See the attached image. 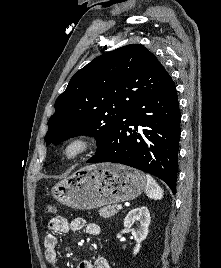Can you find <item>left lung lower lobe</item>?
Here are the masks:
<instances>
[{"mask_svg": "<svg viewBox=\"0 0 221 268\" xmlns=\"http://www.w3.org/2000/svg\"><path fill=\"white\" fill-rule=\"evenodd\" d=\"M180 120L176 88L171 80L129 109L100 151L87 162L120 163L146 171L166 182L175 194Z\"/></svg>", "mask_w": 221, "mask_h": 268, "instance_id": "left-lung-lower-lobe-1", "label": "left lung lower lobe"}]
</instances>
